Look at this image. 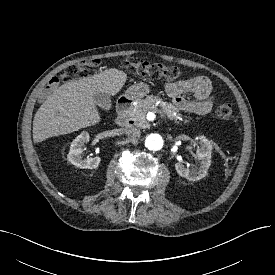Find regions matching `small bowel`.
<instances>
[{
  "instance_id": "obj_1",
  "label": "small bowel",
  "mask_w": 275,
  "mask_h": 275,
  "mask_svg": "<svg viewBox=\"0 0 275 275\" xmlns=\"http://www.w3.org/2000/svg\"><path fill=\"white\" fill-rule=\"evenodd\" d=\"M165 91L173 104L182 111L205 115L212 109L214 102L212 85L205 76H196L178 82H168L165 84ZM186 93H192L195 99H186L184 97Z\"/></svg>"
}]
</instances>
